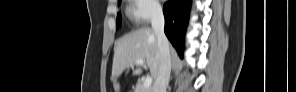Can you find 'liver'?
<instances>
[{
	"label": "liver",
	"instance_id": "obj_1",
	"mask_svg": "<svg viewBox=\"0 0 296 92\" xmlns=\"http://www.w3.org/2000/svg\"><path fill=\"white\" fill-rule=\"evenodd\" d=\"M146 60L151 76L156 79L159 73L160 57L157 37L154 30L148 27L124 35L114 49L112 81L115 92H119L117 78L129 66L136 65L133 75H140L143 70L136 60Z\"/></svg>",
	"mask_w": 296,
	"mask_h": 92
}]
</instances>
